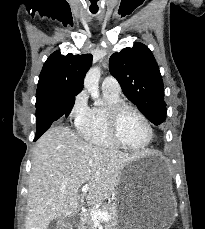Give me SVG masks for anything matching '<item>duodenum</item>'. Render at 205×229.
<instances>
[{
	"instance_id": "1",
	"label": "duodenum",
	"mask_w": 205,
	"mask_h": 229,
	"mask_svg": "<svg viewBox=\"0 0 205 229\" xmlns=\"http://www.w3.org/2000/svg\"><path fill=\"white\" fill-rule=\"evenodd\" d=\"M80 222V218H76V219H74V221H73V223H75V224H77V223H79Z\"/></svg>"
}]
</instances>
